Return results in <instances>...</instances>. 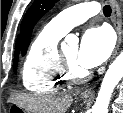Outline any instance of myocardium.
Wrapping results in <instances>:
<instances>
[{"label": "myocardium", "mask_w": 123, "mask_h": 113, "mask_svg": "<svg viewBox=\"0 0 123 113\" xmlns=\"http://www.w3.org/2000/svg\"><path fill=\"white\" fill-rule=\"evenodd\" d=\"M61 69L67 81H79L88 76V72L70 63L63 51H60Z\"/></svg>", "instance_id": "f54148a6"}]
</instances>
